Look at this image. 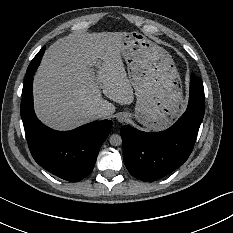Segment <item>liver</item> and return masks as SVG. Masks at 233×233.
<instances>
[{
  "mask_svg": "<svg viewBox=\"0 0 233 233\" xmlns=\"http://www.w3.org/2000/svg\"><path fill=\"white\" fill-rule=\"evenodd\" d=\"M125 34L71 32L45 50L32 83L33 109L42 124L73 130L95 120V109L105 110L102 119L113 115L116 106L110 100L133 101L117 47Z\"/></svg>",
  "mask_w": 233,
  "mask_h": 233,
  "instance_id": "obj_1",
  "label": "liver"
}]
</instances>
